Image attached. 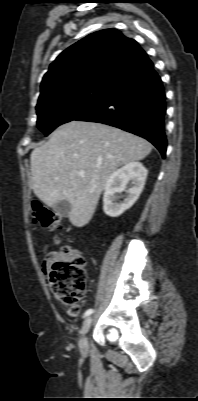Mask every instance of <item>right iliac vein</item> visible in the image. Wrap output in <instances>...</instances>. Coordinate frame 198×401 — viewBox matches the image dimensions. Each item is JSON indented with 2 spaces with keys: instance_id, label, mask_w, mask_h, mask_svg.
<instances>
[{
  "instance_id": "63e3f726",
  "label": "right iliac vein",
  "mask_w": 198,
  "mask_h": 401,
  "mask_svg": "<svg viewBox=\"0 0 198 401\" xmlns=\"http://www.w3.org/2000/svg\"><path fill=\"white\" fill-rule=\"evenodd\" d=\"M91 324H92L91 316L87 317L82 324L81 337L79 340V348L83 354H85L88 351V341H87L86 334L88 333V331L91 327Z\"/></svg>"
}]
</instances>
